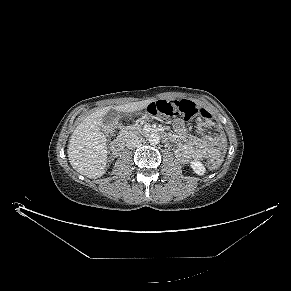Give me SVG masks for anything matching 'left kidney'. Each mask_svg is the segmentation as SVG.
Instances as JSON below:
<instances>
[{
    "label": "left kidney",
    "instance_id": "5707ae66",
    "mask_svg": "<svg viewBox=\"0 0 291 291\" xmlns=\"http://www.w3.org/2000/svg\"><path fill=\"white\" fill-rule=\"evenodd\" d=\"M190 166L198 175H204L206 172L204 165L200 161H191Z\"/></svg>",
    "mask_w": 291,
    "mask_h": 291
}]
</instances>
